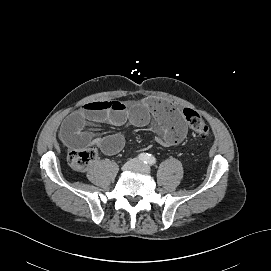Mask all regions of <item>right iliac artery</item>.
Here are the masks:
<instances>
[{
	"label": "right iliac artery",
	"instance_id": "obj_1",
	"mask_svg": "<svg viewBox=\"0 0 271 271\" xmlns=\"http://www.w3.org/2000/svg\"><path fill=\"white\" fill-rule=\"evenodd\" d=\"M148 157H149V154H146V153H141L138 155V159L144 163L147 162Z\"/></svg>",
	"mask_w": 271,
	"mask_h": 271
}]
</instances>
